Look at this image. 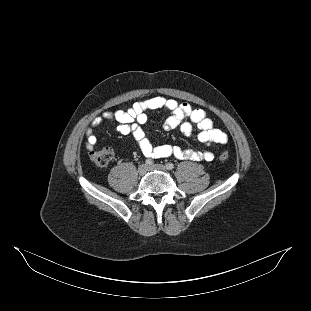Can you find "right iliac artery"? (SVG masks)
I'll return each mask as SVG.
<instances>
[{
  "instance_id": "right-iliac-artery-1",
  "label": "right iliac artery",
  "mask_w": 311,
  "mask_h": 311,
  "mask_svg": "<svg viewBox=\"0 0 311 311\" xmlns=\"http://www.w3.org/2000/svg\"><path fill=\"white\" fill-rule=\"evenodd\" d=\"M145 164L148 165V166H150V165L153 164V161H152L151 159H147V160L145 161Z\"/></svg>"
}]
</instances>
